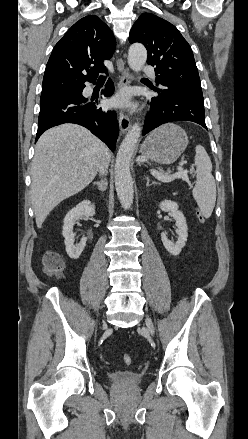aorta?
Returning a JSON list of instances; mask_svg holds the SVG:
<instances>
[{
  "label": "aorta",
  "instance_id": "obj_1",
  "mask_svg": "<svg viewBox=\"0 0 248 439\" xmlns=\"http://www.w3.org/2000/svg\"><path fill=\"white\" fill-rule=\"evenodd\" d=\"M147 60L146 48L139 43L132 44L128 51L129 67L139 72ZM141 135L140 124L135 123L123 139L115 161V187L117 196L124 210H128L134 199L133 180L130 173V162Z\"/></svg>",
  "mask_w": 248,
  "mask_h": 439
}]
</instances>
